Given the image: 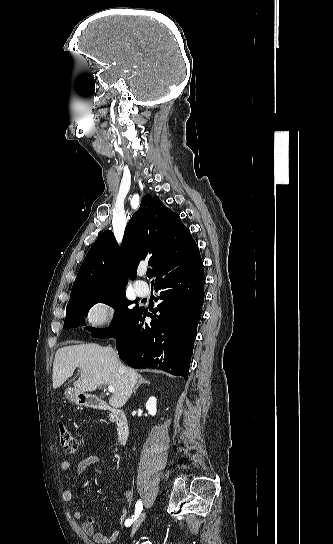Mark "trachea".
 <instances>
[{
  "mask_svg": "<svg viewBox=\"0 0 333 544\" xmlns=\"http://www.w3.org/2000/svg\"><path fill=\"white\" fill-rule=\"evenodd\" d=\"M152 270L151 269H148L147 272H146V275L148 278H152Z\"/></svg>",
  "mask_w": 333,
  "mask_h": 544,
  "instance_id": "trachea-1",
  "label": "trachea"
}]
</instances>
